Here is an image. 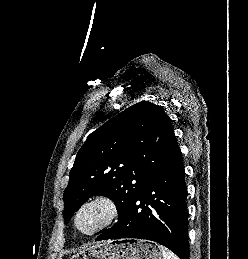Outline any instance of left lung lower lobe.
Returning <instances> with one entry per match:
<instances>
[{
	"label": "left lung lower lobe",
	"mask_w": 248,
	"mask_h": 259,
	"mask_svg": "<svg viewBox=\"0 0 248 259\" xmlns=\"http://www.w3.org/2000/svg\"><path fill=\"white\" fill-rule=\"evenodd\" d=\"M184 164L178 149L134 198L124 215L96 241L139 238L155 241L189 259Z\"/></svg>",
	"instance_id": "obj_1"
}]
</instances>
